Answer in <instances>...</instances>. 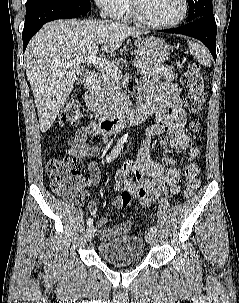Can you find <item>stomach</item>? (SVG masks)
<instances>
[{
	"instance_id": "1",
	"label": "stomach",
	"mask_w": 239,
	"mask_h": 303,
	"mask_svg": "<svg viewBox=\"0 0 239 303\" xmlns=\"http://www.w3.org/2000/svg\"><path fill=\"white\" fill-rule=\"evenodd\" d=\"M135 45L140 54L158 64L165 62L171 53V47L165 41L153 36L138 37Z\"/></svg>"
}]
</instances>
